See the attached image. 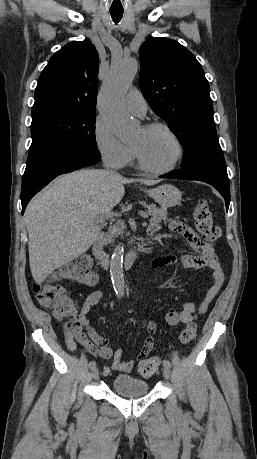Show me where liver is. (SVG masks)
I'll use <instances>...</instances> for the list:
<instances>
[{"mask_svg":"<svg viewBox=\"0 0 257 459\" xmlns=\"http://www.w3.org/2000/svg\"><path fill=\"white\" fill-rule=\"evenodd\" d=\"M133 179L106 170L84 169L60 176L27 206L29 263L37 284L85 253L102 222L124 196ZM151 186L159 180L137 179Z\"/></svg>","mask_w":257,"mask_h":459,"instance_id":"obj_1","label":"liver"}]
</instances>
